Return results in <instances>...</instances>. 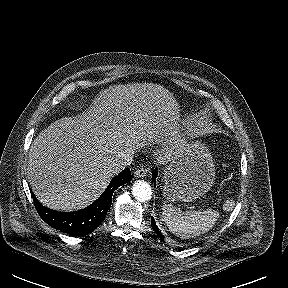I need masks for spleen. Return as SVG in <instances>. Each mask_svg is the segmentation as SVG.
I'll return each instance as SVG.
<instances>
[{
    "label": "spleen",
    "instance_id": "3e777b00",
    "mask_svg": "<svg viewBox=\"0 0 288 288\" xmlns=\"http://www.w3.org/2000/svg\"><path fill=\"white\" fill-rule=\"evenodd\" d=\"M218 217L219 212L212 209L182 211L170 204L162 207V218L168 229L181 239L194 238L208 232Z\"/></svg>",
    "mask_w": 288,
    "mask_h": 288
}]
</instances>
